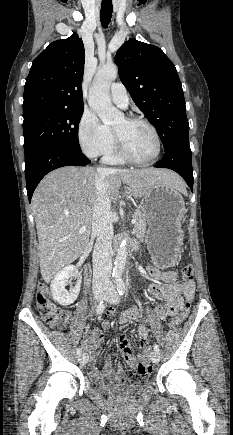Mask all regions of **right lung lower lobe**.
<instances>
[{
    "label": "right lung lower lobe",
    "mask_w": 233,
    "mask_h": 435,
    "mask_svg": "<svg viewBox=\"0 0 233 435\" xmlns=\"http://www.w3.org/2000/svg\"><path fill=\"white\" fill-rule=\"evenodd\" d=\"M89 163L90 160L81 149L45 144L25 151V176L29 201L38 183L50 171L63 166H83Z\"/></svg>",
    "instance_id": "98d812e1"
}]
</instances>
